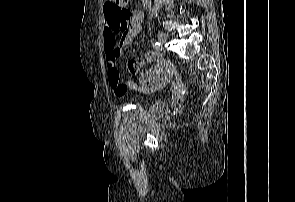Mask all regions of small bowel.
Segmentation results:
<instances>
[{"mask_svg":"<svg viewBox=\"0 0 295 202\" xmlns=\"http://www.w3.org/2000/svg\"><path fill=\"white\" fill-rule=\"evenodd\" d=\"M143 23V12L140 9L129 11V20L125 28L121 27V21L108 14L105 15L104 24V51L106 69L110 86L115 95L122 97L126 89L136 90L144 95H151L164 87L167 83L174 90L173 98H184V86L186 81H172L175 75L174 67L165 62L159 51H147L144 54V62H155V64L139 75L138 82L127 80L122 82L119 77L117 60L126 46L132 43L140 33ZM127 28V29H126ZM121 33L120 43L117 44L116 36ZM143 63H127L128 72L138 69Z\"/></svg>","mask_w":295,"mask_h":202,"instance_id":"small-bowel-1","label":"small bowel"}]
</instances>
